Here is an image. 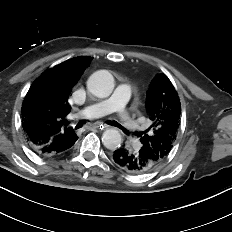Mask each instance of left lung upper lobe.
Wrapping results in <instances>:
<instances>
[{
  "label": "left lung upper lobe",
  "mask_w": 232,
  "mask_h": 232,
  "mask_svg": "<svg viewBox=\"0 0 232 232\" xmlns=\"http://www.w3.org/2000/svg\"><path fill=\"white\" fill-rule=\"evenodd\" d=\"M151 126L138 133L145 156L157 165L171 151L180 128L181 103L177 91L164 74L152 80L146 97Z\"/></svg>",
  "instance_id": "left-lung-upper-lobe-1"
}]
</instances>
